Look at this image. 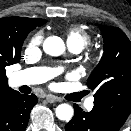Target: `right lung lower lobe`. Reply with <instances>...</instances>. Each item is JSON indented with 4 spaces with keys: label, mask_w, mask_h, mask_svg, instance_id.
<instances>
[{
    "label": "right lung lower lobe",
    "mask_w": 131,
    "mask_h": 131,
    "mask_svg": "<svg viewBox=\"0 0 131 131\" xmlns=\"http://www.w3.org/2000/svg\"><path fill=\"white\" fill-rule=\"evenodd\" d=\"M37 97L19 92L0 100V131H25Z\"/></svg>",
    "instance_id": "1"
}]
</instances>
